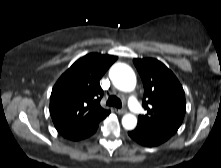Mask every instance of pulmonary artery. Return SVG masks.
Returning a JSON list of instances; mask_svg holds the SVG:
<instances>
[{
  "mask_svg": "<svg viewBox=\"0 0 221 168\" xmlns=\"http://www.w3.org/2000/svg\"><path fill=\"white\" fill-rule=\"evenodd\" d=\"M128 105L132 112L138 114L142 111L140 104L138 103L135 96H130L128 99Z\"/></svg>",
  "mask_w": 221,
  "mask_h": 168,
  "instance_id": "pulmonary-artery-1",
  "label": "pulmonary artery"
}]
</instances>
